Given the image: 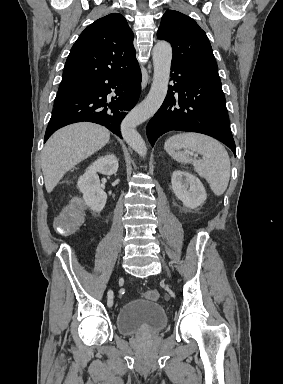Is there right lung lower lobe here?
Instances as JSON below:
<instances>
[{
	"mask_svg": "<svg viewBox=\"0 0 283 384\" xmlns=\"http://www.w3.org/2000/svg\"><path fill=\"white\" fill-rule=\"evenodd\" d=\"M111 89L116 97L107 99ZM141 90L139 65L132 70L110 78L95 81L83 89L71 101L54 107L45 133V141L59 128L89 121L105 126L121 136V122L137 103Z\"/></svg>",
	"mask_w": 283,
	"mask_h": 384,
	"instance_id": "obj_1",
	"label": "right lung lower lobe"
}]
</instances>
